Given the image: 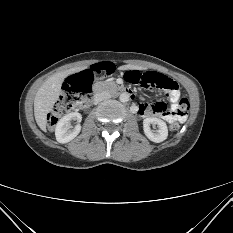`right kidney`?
Returning <instances> with one entry per match:
<instances>
[{"instance_id":"obj_1","label":"right kidney","mask_w":233,"mask_h":233,"mask_svg":"<svg viewBox=\"0 0 233 233\" xmlns=\"http://www.w3.org/2000/svg\"><path fill=\"white\" fill-rule=\"evenodd\" d=\"M82 116L78 112H71L64 117H62L55 128V136L56 140L59 143H68L71 140H73L80 132ZM72 121H77V124L75 125L74 129L72 126Z\"/></svg>"}]
</instances>
